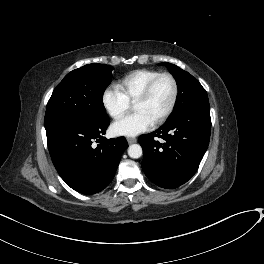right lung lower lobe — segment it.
Wrapping results in <instances>:
<instances>
[{
	"label": "right lung lower lobe",
	"instance_id": "98d812e1",
	"mask_svg": "<svg viewBox=\"0 0 264 264\" xmlns=\"http://www.w3.org/2000/svg\"><path fill=\"white\" fill-rule=\"evenodd\" d=\"M109 123L107 118L95 122H63L46 127L52 162L65 183L77 192L95 194L114 178L128 143L125 137L102 138ZM95 141L100 143L97 147Z\"/></svg>",
	"mask_w": 264,
	"mask_h": 264
}]
</instances>
